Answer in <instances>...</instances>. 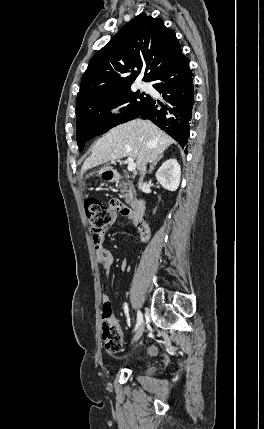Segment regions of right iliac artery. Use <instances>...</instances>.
I'll return each instance as SVG.
<instances>
[{
  "mask_svg": "<svg viewBox=\"0 0 264 429\" xmlns=\"http://www.w3.org/2000/svg\"><path fill=\"white\" fill-rule=\"evenodd\" d=\"M142 321H143V315L140 311H138L137 312V324H136L135 330L140 326Z\"/></svg>",
  "mask_w": 264,
  "mask_h": 429,
  "instance_id": "obj_1",
  "label": "right iliac artery"
}]
</instances>
